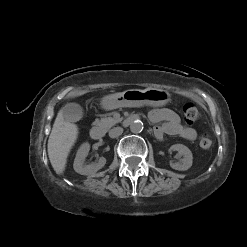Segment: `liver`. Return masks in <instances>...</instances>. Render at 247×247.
Masks as SVG:
<instances>
[{
    "label": "liver",
    "mask_w": 247,
    "mask_h": 247,
    "mask_svg": "<svg viewBox=\"0 0 247 247\" xmlns=\"http://www.w3.org/2000/svg\"><path fill=\"white\" fill-rule=\"evenodd\" d=\"M78 133V126L65 121L60 110L53 124L47 147L49 160L57 174L65 171L67 157L78 138Z\"/></svg>",
    "instance_id": "obj_1"
}]
</instances>
